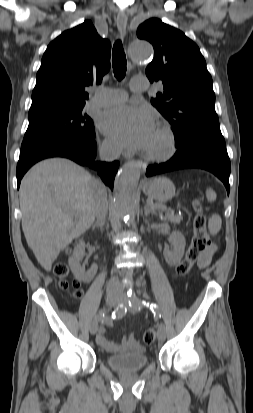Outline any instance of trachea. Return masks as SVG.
Returning a JSON list of instances; mask_svg holds the SVG:
<instances>
[{
	"label": "trachea",
	"instance_id": "3493384b",
	"mask_svg": "<svg viewBox=\"0 0 253 413\" xmlns=\"http://www.w3.org/2000/svg\"><path fill=\"white\" fill-rule=\"evenodd\" d=\"M126 56L124 53L123 45L120 40L114 43L112 51V67L115 77L120 81L126 74Z\"/></svg>",
	"mask_w": 253,
	"mask_h": 413
}]
</instances>
